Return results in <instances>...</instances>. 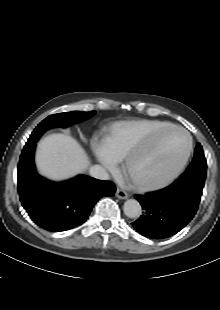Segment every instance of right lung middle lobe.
Listing matches in <instances>:
<instances>
[{"label":"right lung middle lobe","mask_w":220,"mask_h":310,"mask_svg":"<svg viewBox=\"0 0 220 310\" xmlns=\"http://www.w3.org/2000/svg\"><path fill=\"white\" fill-rule=\"evenodd\" d=\"M95 114V111L81 112L72 111L48 116L32 132L30 141H37L39 137L48 129L53 127H67L73 123L82 122Z\"/></svg>","instance_id":"1"}]
</instances>
